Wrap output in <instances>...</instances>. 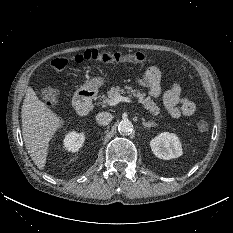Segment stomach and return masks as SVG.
<instances>
[{
    "label": "stomach",
    "instance_id": "obj_1",
    "mask_svg": "<svg viewBox=\"0 0 233 233\" xmlns=\"http://www.w3.org/2000/svg\"><path fill=\"white\" fill-rule=\"evenodd\" d=\"M105 80L103 77H92L89 79L83 86L84 89L86 90H97L98 87L102 86L104 84Z\"/></svg>",
    "mask_w": 233,
    "mask_h": 233
}]
</instances>
